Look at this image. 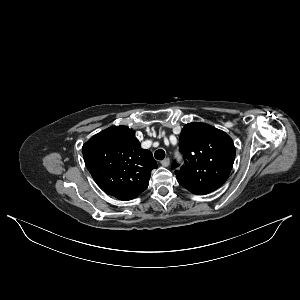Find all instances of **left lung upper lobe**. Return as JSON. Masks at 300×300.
I'll return each mask as SVG.
<instances>
[{
  "instance_id": "1",
  "label": "left lung upper lobe",
  "mask_w": 300,
  "mask_h": 300,
  "mask_svg": "<svg viewBox=\"0 0 300 300\" xmlns=\"http://www.w3.org/2000/svg\"><path fill=\"white\" fill-rule=\"evenodd\" d=\"M179 149L185 164L176 177L190 192L205 195L221 187L227 180L235 159V147L225 132L200 122L182 129ZM173 168L178 167L176 162Z\"/></svg>"
}]
</instances>
